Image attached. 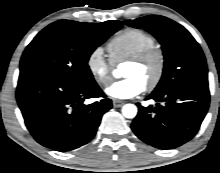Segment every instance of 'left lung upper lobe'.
Segmentation results:
<instances>
[{"mask_svg": "<svg viewBox=\"0 0 220 173\" xmlns=\"http://www.w3.org/2000/svg\"><path fill=\"white\" fill-rule=\"evenodd\" d=\"M124 23L150 32L162 45L164 69L153 92H165L184 85L208 86L204 54L183 26L158 15L125 20Z\"/></svg>", "mask_w": 220, "mask_h": 173, "instance_id": "5c2ea615", "label": "left lung upper lobe"}]
</instances>
